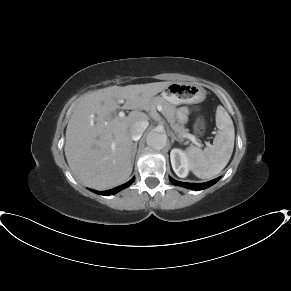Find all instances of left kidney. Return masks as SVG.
I'll return each instance as SVG.
<instances>
[{
	"label": "left kidney",
	"mask_w": 291,
	"mask_h": 291,
	"mask_svg": "<svg viewBox=\"0 0 291 291\" xmlns=\"http://www.w3.org/2000/svg\"><path fill=\"white\" fill-rule=\"evenodd\" d=\"M170 159L176 175L180 178L187 177L190 169V161L187 154L181 149L174 148L171 150Z\"/></svg>",
	"instance_id": "left-kidney-1"
}]
</instances>
